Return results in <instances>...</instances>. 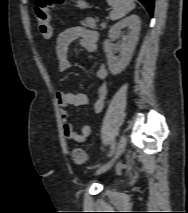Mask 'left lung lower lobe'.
Instances as JSON below:
<instances>
[{
	"mask_svg": "<svg viewBox=\"0 0 188 213\" xmlns=\"http://www.w3.org/2000/svg\"><path fill=\"white\" fill-rule=\"evenodd\" d=\"M148 10L150 15L153 14V8H154V0H139Z\"/></svg>",
	"mask_w": 188,
	"mask_h": 213,
	"instance_id": "1",
	"label": "left lung lower lobe"
}]
</instances>
